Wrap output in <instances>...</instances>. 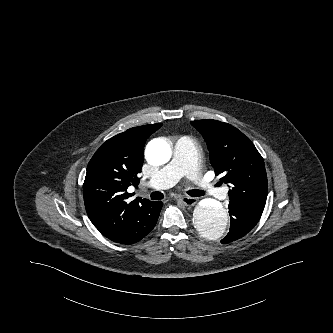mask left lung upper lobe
Wrapping results in <instances>:
<instances>
[{
	"label": "left lung upper lobe",
	"instance_id": "5c2ea615",
	"mask_svg": "<svg viewBox=\"0 0 333 333\" xmlns=\"http://www.w3.org/2000/svg\"><path fill=\"white\" fill-rule=\"evenodd\" d=\"M204 137L216 175L230 185V204L263 212L268 182L264 161L254 144L237 128L217 120L191 122Z\"/></svg>",
	"mask_w": 333,
	"mask_h": 333
}]
</instances>
